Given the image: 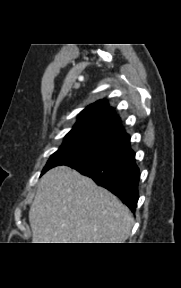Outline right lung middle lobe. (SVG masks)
<instances>
[{
	"label": "right lung middle lobe",
	"mask_w": 181,
	"mask_h": 288,
	"mask_svg": "<svg viewBox=\"0 0 181 288\" xmlns=\"http://www.w3.org/2000/svg\"><path fill=\"white\" fill-rule=\"evenodd\" d=\"M114 157L109 150L79 140H65L48 160L42 174L58 165H69L79 161L100 160Z\"/></svg>",
	"instance_id": "dd1d6c3e"
}]
</instances>
